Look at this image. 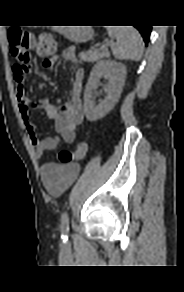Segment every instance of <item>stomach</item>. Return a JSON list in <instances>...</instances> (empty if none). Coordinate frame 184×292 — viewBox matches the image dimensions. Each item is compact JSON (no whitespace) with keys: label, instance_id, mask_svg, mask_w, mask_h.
<instances>
[{"label":"stomach","instance_id":"0dacf381","mask_svg":"<svg viewBox=\"0 0 184 292\" xmlns=\"http://www.w3.org/2000/svg\"><path fill=\"white\" fill-rule=\"evenodd\" d=\"M61 32L72 42H85L93 37V31L88 27L63 26Z\"/></svg>","mask_w":184,"mask_h":292}]
</instances>
